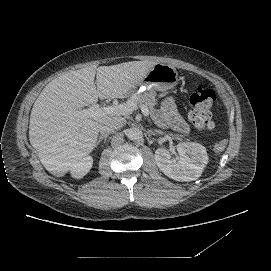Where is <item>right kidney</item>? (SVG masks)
I'll use <instances>...</instances> for the list:
<instances>
[{"label": "right kidney", "mask_w": 271, "mask_h": 271, "mask_svg": "<svg viewBox=\"0 0 271 271\" xmlns=\"http://www.w3.org/2000/svg\"><path fill=\"white\" fill-rule=\"evenodd\" d=\"M91 166L92 159L90 157H86L77 162L71 171L76 178H82L90 170Z\"/></svg>", "instance_id": "right-kidney-1"}]
</instances>
